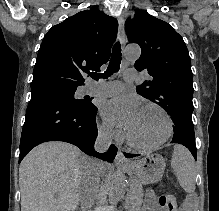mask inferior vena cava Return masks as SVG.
<instances>
[{
  "label": "inferior vena cava",
  "mask_w": 219,
  "mask_h": 211,
  "mask_svg": "<svg viewBox=\"0 0 219 211\" xmlns=\"http://www.w3.org/2000/svg\"><path fill=\"white\" fill-rule=\"evenodd\" d=\"M112 135L110 133H100L98 135L94 147L96 151H106L111 143ZM107 165L105 161H98L92 159V166H90L89 174L86 175L85 183H81L77 192L80 193L81 203L83 207H93L96 188H100L99 175H103V166Z\"/></svg>",
  "instance_id": "obj_1"
}]
</instances>
